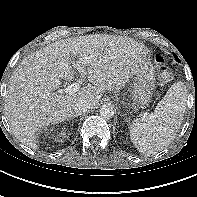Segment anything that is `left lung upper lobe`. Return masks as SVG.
Segmentation results:
<instances>
[{
  "label": "left lung upper lobe",
  "instance_id": "obj_1",
  "mask_svg": "<svg viewBox=\"0 0 197 197\" xmlns=\"http://www.w3.org/2000/svg\"><path fill=\"white\" fill-rule=\"evenodd\" d=\"M174 57H175V60H176V61H179V59H178V57H177L176 55H174Z\"/></svg>",
  "mask_w": 197,
  "mask_h": 197
}]
</instances>
